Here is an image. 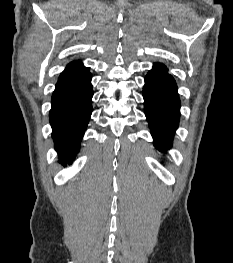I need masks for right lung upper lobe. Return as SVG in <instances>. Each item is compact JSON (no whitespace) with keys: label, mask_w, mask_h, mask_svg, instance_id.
I'll list each match as a JSON object with an SVG mask.
<instances>
[{"label":"right lung upper lobe","mask_w":233,"mask_h":263,"mask_svg":"<svg viewBox=\"0 0 233 263\" xmlns=\"http://www.w3.org/2000/svg\"><path fill=\"white\" fill-rule=\"evenodd\" d=\"M83 67L81 61H73L70 64H68V66L66 67V69H70V68H80Z\"/></svg>","instance_id":"obj_1"}]
</instances>
